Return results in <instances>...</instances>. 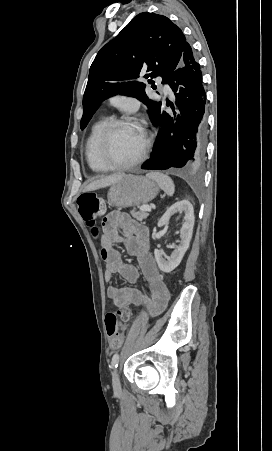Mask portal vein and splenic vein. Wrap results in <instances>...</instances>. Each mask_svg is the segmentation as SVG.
I'll list each match as a JSON object with an SVG mask.
<instances>
[{
  "label": "portal vein and splenic vein",
  "mask_w": 272,
  "mask_h": 451,
  "mask_svg": "<svg viewBox=\"0 0 272 451\" xmlns=\"http://www.w3.org/2000/svg\"><path fill=\"white\" fill-rule=\"evenodd\" d=\"M140 212H151L150 206H141Z\"/></svg>",
  "instance_id": "18ae733b"
}]
</instances>
